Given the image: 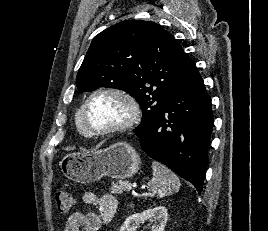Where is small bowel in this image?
<instances>
[{"mask_svg": "<svg viewBox=\"0 0 268 231\" xmlns=\"http://www.w3.org/2000/svg\"><path fill=\"white\" fill-rule=\"evenodd\" d=\"M82 201L87 206L97 208L98 212L71 214L64 231H99L114 217L118 205L113 195L105 194L99 198L93 191L83 192Z\"/></svg>", "mask_w": 268, "mask_h": 231, "instance_id": "obj_1", "label": "small bowel"}]
</instances>
